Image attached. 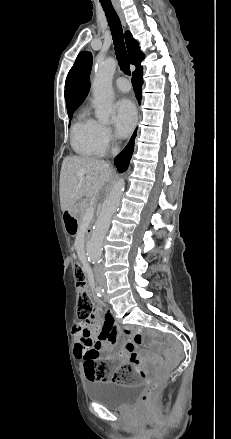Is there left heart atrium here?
Segmentation results:
<instances>
[{
    "label": "left heart atrium",
    "instance_id": "1",
    "mask_svg": "<svg viewBox=\"0 0 231 439\" xmlns=\"http://www.w3.org/2000/svg\"><path fill=\"white\" fill-rule=\"evenodd\" d=\"M136 109L133 103L123 98L114 105V125L120 137H127L136 123Z\"/></svg>",
    "mask_w": 231,
    "mask_h": 439
}]
</instances>
